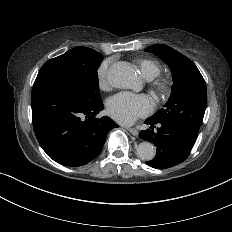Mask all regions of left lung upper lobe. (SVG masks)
<instances>
[{"instance_id": "5c2ea615", "label": "left lung upper lobe", "mask_w": 232, "mask_h": 232, "mask_svg": "<svg viewBox=\"0 0 232 232\" xmlns=\"http://www.w3.org/2000/svg\"><path fill=\"white\" fill-rule=\"evenodd\" d=\"M158 55L171 69L172 93L151 120L177 124L197 136L207 106L206 83L196 65L173 48L156 44L145 49Z\"/></svg>"}]
</instances>
